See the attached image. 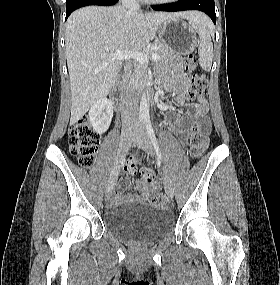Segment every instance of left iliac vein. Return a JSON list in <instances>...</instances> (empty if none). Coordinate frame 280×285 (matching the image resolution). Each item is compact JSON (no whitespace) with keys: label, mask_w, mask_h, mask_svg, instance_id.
<instances>
[{"label":"left iliac vein","mask_w":280,"mask_h":285,"mask_svg":"<svg viewBox=\"0 0 280 285\" xmlns=\"http://www.w3.org/2000/svg\"><path fill=\"white\" fill-rule=\"evenodd\" d=\"M133 140L140 147H142L148 154H150L151 156H155V149L143 125H140L137 131L134 133ZM163 182L167 195L170 198H173L174 196L173 184L171 178L169 177L166 171L163 172Z\"/></svg>","instance_id":"1"}]
</instances>
